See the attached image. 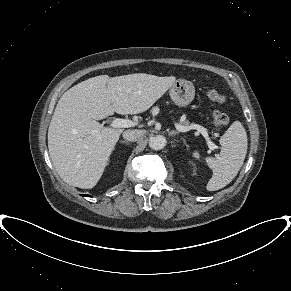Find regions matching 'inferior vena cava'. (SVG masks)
I'll return each mask as SVG.
<instances>
[{
  "label": "inferior vena cava",
  "instance_id": "obj_1",
  "mask_svg": "<svg viewBox=\"0 0 291 291\" xmlns=\"http://www.w3.org/2000/svg\"><path fill=\"white\" fill-rule=\"evenodd\" d=\"M144 137V131L142 130H126L125 132H123V138L128 140V141H137L140 140Z\"/></svg>",
  "mask_w": 291,
  "mask_h": 291
}]
</instances>
